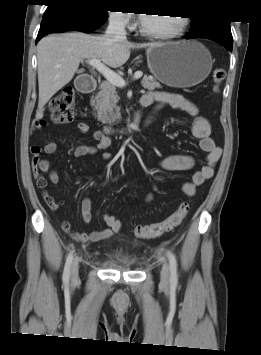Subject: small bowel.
Returning a JSON list of instances; mask_svg holds the SVG:
<instances>
[{"instance_id": "c3829d8e", "label": "small bowel", "mask_w": 261, "mask_h": 355, "mask_svg": "<svg viewBox=\"0 0 261 355\" xmlns=\"http://www.w3.org/2000/svg\"><path fill=\"white\" fill-rule=\"evenodd\" d=\"M142 107H148L152 104H156L158 107H171L180 109L193 117L192 133L200 141V148L206 154L205 164L198 170L194 171L191 180L185 182L182 185V192L192 197L195 194L196 188L201 185L205 180L210 179L214 174V167L217 164L221 156V149L217 147L211 138V127L208 119L199 114L198 107L189 99L178 95L167 93L163 91H149L142 96ZM78 129L81 133L85 134L89 131V126L85 122L78 123ZM38 121H34L31 126V132H35L40 129ZM94 144L80 145L75 148L74 156L83 157L87 155H98L105 160L110 159V155L106 152H102L111 145V138L105 135L101 130L93 132ZM58 145L56 142H49L43 147L40 145H32L30 147V153L32 154V174L36 181L37 186L43 190V196L46 204L52 210L59 208L60 204L54 200V198L45 191L47 183L57 184L59 182V174L56 170L52 169V163L48 159L41 157V153L44 152L47 155H53L57 151ZM160 166L167 171H190L195 166V159L191 155H169L160 161ZM47 173V177H44L41 173ZM154 198L153 193H148L145 196V201L150 202ZM81 217L85 224L90 223L92 219L91 214V200L88 197L82 199L80 204ZM103 221L108 226L107 229L92 231V232H76L73 230L69 221L64 220L61 223V227L64 232L68 233L74 240L82 243H97L105 240L117 233L122 228L120 220L112 214H104Z\"/></svg>"}]
</instances>
